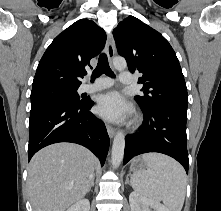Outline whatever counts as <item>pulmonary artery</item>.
Returning a JSON list of instances; mask_svg holds the SVG:
<instances>
[{"instance_id": "1", "label": "pulmonary artery", "mask_w": 221, "mask_h": 211, "mask_svg": "<svg viewBox=\"0 0 221 211\" xmlns=\"http://www.w3.org/2000/svg\"><path fill=\"white\" fill-rule=\"evenodd\" d=\"M134 78L133 74L129 71H124L120 74V82L122 84H131L133 83ZM112 79L108 77L96 79L93 83H85L81 86V91L83 92H94L108 88L112 85Z\"/></svg>"}]
</instances>
